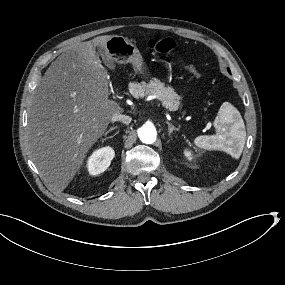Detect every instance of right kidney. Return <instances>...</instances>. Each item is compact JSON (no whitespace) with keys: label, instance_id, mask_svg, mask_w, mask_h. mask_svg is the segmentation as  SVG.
I'll return each mask as SVG.
<instances>
[{"label":"right kidney","instance_id":"right-kidney-1","mask_svg":"<svg viewBox=\"0 0 285 285\" xmlns=\"http://www.w3.org/2000/svg\"><path fill=\"white\" fill-rule=\"evenodd\" d=\"M114 157V151L111 148H103L93 153L88 163L89 172L93 175L103 172Z\"/></svg>","mask_w":285,"mask_h":285}]
</instances>
